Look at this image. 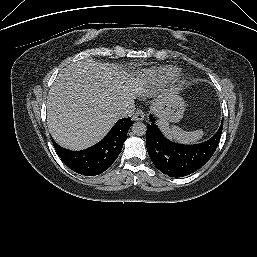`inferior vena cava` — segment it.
<instances>
[{
  "label": "inferior vena cava",
  "mask_w": 257,
  "mask_h": 257,
  "mask_svg": "<svg viewBox=\"0 0 257 257\" xmlns=\"http://www.w3.org/2000/svg\"><path fill=\"white\" fill-rule=\"evenodd\" d=\"M135 111V105L133 101L123 103L117 110L116 114L119 118L131 117Z\"/></svg>",
  "instance_id": "inferior-vena-cava-1"
}]
</instances>
